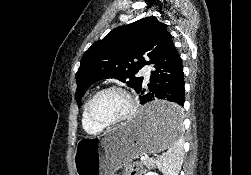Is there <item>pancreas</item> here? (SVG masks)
<instances>
[{"mask_svg": "<svg viewBox=\"0 0 251 175\" xmlns=\"http://www.w3.org/2000/svg\"><path fill=\"white\" fill-rule=\"evenodd\" d=\"M143 165H146V167H148V169H151V165L152 167H154V159H141Z\"/></svg>", "mask_w": 251, "mask_h": 175, "instance_id": "cf45deb5", "label": "pancreas"}]
</instances>
